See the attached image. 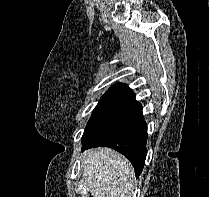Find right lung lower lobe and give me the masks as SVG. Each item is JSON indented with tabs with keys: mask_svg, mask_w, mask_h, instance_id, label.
<instances>
[{
	"mask_svg": "<svg viewBox=\"0 0 209 197\" xmlns=\"http://www.w3.org/2000/svg\"><path fill=\"white\" fill-rule=\"evenodd\" d=\"M146 143L142 106L133 99L88 126L82 137V150L98 146L113 148L131 161L138 177L146 159Z\"/></svg>",
	"mask_w": 209,
	"mask_h": 197,
	"instance_id": "right-lung-lower-lobe-1",
	"label": "right lung lower lobe"
}]
</instances>
